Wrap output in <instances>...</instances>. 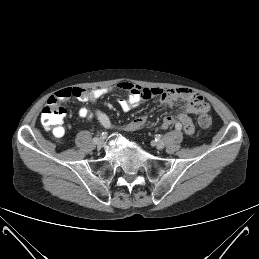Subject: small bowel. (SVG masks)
I'll return each instance as SVG.
<instances>
[{
    "label": "small bowel",
    "mask_w": 259,
    "mask_h": 259,
    "mask_svg": "<svg viewBox=\"0 0 259 259\" xmlns=\"http://www.w3.org/2000/svg\"><path fill=\"white\" fill-rule=\"evenodd\" d=\"M115 88L128 93L127 98L118 100V105L124 112H128L136 108L143 101L151 98H158L162 105L168 106H172L179 99L184 100L185 104L176 116L167 115L162 119L160 127L164 130L176 123H179L186 134H192L194 132V124L190 115L209 110V105L204 101L203 97L198 92L189 88H147L131 82H120L115 86ZM111 90L112 88H96L90 90L77 87L66 88L58 91L55 96L51 98L64 101L69 97H75L80 101H90L95 103ZM78 115L79 117L86 118L90 121L96 120L104 128H112V122L109 116L100 109L91 111L83 107L79 109ZM147 122L148 114H144L130 121L123 127V129L130 132L136 131L144 127Z\"/></svg>",
    "instance_id": "small-bowel-1"
}]
</instances>
